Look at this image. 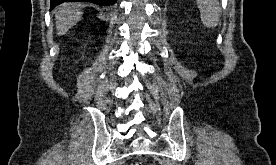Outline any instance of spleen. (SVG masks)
<instances>
[{
  "label": "spleen",
  "instance_id": "spleen-1",
  "mask_svg": "<svg viewBox=\"0 0 276 165\" xmlns=\"http://www.w3.org/2000/svg\"><path fill=\"white\" fill-rule=\"evenodd\" d=\"M201 21L207 28H214L220 20L221 9L218 0H197Z\"/></svg>",
  "mask_w": 276,
  "mask_h": 165
}]
</instances>
